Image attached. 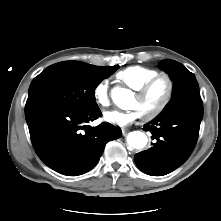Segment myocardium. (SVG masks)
Wrapping results in <instances>:
<instances>
[{
    "instance_id": "obj_1",
    "label": "myocardium",
    "mask_w": 221,
    "mask_h": 221,
    "mask_svg": "<svg viewBox=\"0 0 221 221\" xmlns=\"http://www.w3.org/2000/svg\"><path fill=\"white\" fill-rule=\"evenodd\" d=\"M161 80H164L166 82L167 89L165 96L160 105L156 107L153 111L141 115L142 118L146 121L156 119L168 107L174 94V80L172 76L167 73L158 74L157 76L151 78L150 80L145 82L141 87L135 90V95L137 97L144 98L149 93V91Z\"/></svg>"
}]
</instances>
